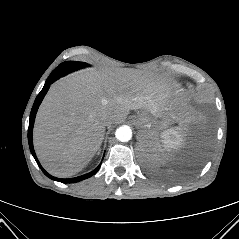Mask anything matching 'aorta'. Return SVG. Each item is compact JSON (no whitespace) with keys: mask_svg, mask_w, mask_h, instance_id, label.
<instances>
[{"mask_svg":"<svg viewBox=\"0 0 239 239\" xmlns=\"http://www.w3.org/2000/svg\"><path fill=\"white\" fill-rule=\"evenodd\" d=\"M115 136L120 142H128L132 138V130L129 126L123 125L116 129Z\"/></svg>","mask_w":239,"mask_h":239,"instance_id":"1","label":"aorta"}]
</instances>
